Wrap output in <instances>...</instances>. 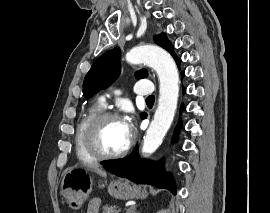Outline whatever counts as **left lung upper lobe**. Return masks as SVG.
<instances>
[{"mask_svg": "<svg viewBox=\"0 0 270 213\" xmlns=\"http://www.w3.org/2000/svg\"><path fill=\"white\" fill-rule=\"evenodd\" d=\"M154 41L170 52L179 65L180 59L174 54L173 46L164 33L155 36ZM120 54V48L116 47L105 52L93 63L84 79L83 92L86 98H90L101 89L107 88L119 76ZM147 75L148 73L145 69L136 73L137 78H145ZM144 116L145 114L142 115V117Z\"/></svg>", "mask_w": 270, "mask_h": 213, "instance_id": "left-lung-upper-lobe-1", "label": "left lung upper lobe"}]
</instances>
